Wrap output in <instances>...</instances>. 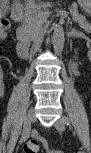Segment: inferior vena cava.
Wrapping results in <instances>:
<instances>
[{
    "instance_id": "1",
    "label": "inferior vena cava",
    "mask_w": 91,
    "mask_h": 153,
    "mask_svg": "<svg viewBox=\"0 0 91 153\" xmlns=\"http://www.w3.org/2000/svg\"><path fill=\"white\" fill-rule=\"evenodd\" d=\"M33 39H34V44L32 46L35 48V50H32V53L40 52V51H37V50H42L41 42L43 39V34H42V28L40 26L34 32Z\"/></svg>"
}]
</instances>
